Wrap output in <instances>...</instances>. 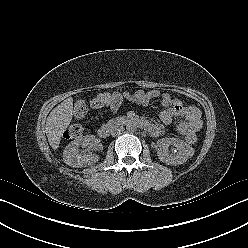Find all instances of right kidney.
I'll use <instances>...</instances> for the list:
<instances>
[{"mask_svg":"<svg viewBox=\"0 0 248 248\" xmlns=\"http://www.w3.org/2000/svg\"><path fill=\"white\" fill-rule=\"evenodd\" d=\"M95 144V136L87 135L82 138L76 139L69 143L64 152L63 160L64 163L71 167L79 168L86 167L96 163L99 159L98 155L89 152L84 155L79 154V147H93Z\"/></svg>","mask_w":248,"mask_h":248,"instance_id":"right-kidney-1","label":"right kidney"}]
</instances>
